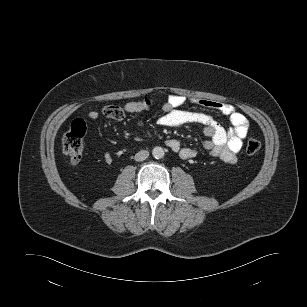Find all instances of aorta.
I'll use <instances>...</instances> for the list:
<instances>
[{
	"instance_id": "1",
	"label": "aorta",
	"mask_w": 307,
	"mask_h": 307,
	"mask_svg": "<svg viewBox=\"0 0 307 307\" xmlns=\"http://www.w3.org/2000/svg\"><path fill=\"white\" fill-rule=\"evenodd\" d=\"M152 155H153V157L156 158V159H161V158H163V157H164V150H163V148H162V147H159V146L153 148V150H152Z\"/></svg>"
}]
</instances>
